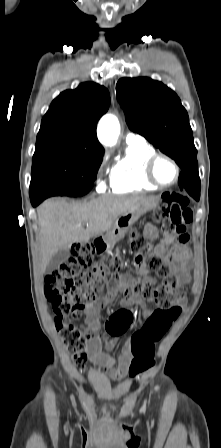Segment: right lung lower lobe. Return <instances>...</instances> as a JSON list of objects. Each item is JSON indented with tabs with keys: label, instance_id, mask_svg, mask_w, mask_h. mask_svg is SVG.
I'll return each instance as SVG.
<instances>
[{
	"label": "right lung lower lobe",
	"instance_id": "98d812e1",
	"mask_svg": "<svg viewBox=\"0 0 221 448\" xmlns=\"http://www.w3.org/2000/svg\"><path fill=\"white\" fill-rule=\"evenodd\" d=\"M56 195H59V194H57L56 191L45 189V188L34 189V190L30 189V200L34 207L39 205L44 199L51 197V196H56Z\"/></svg>",
	"mask_w": 221,
	"mask_h": 448
}]
</instances>
